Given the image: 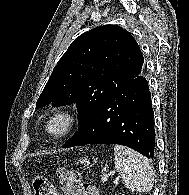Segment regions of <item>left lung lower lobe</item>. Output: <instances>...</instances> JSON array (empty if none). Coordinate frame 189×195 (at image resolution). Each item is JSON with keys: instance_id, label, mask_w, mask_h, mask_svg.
<instances>
[{"instance_id": "left-lung-lower-lobe-1", "label": "left lung lower lobe", "mask_w": 189, "mask_h": 195, "mask_svg": "<svg viewBox=\"0 0 189 195\" xmlns=\"http://www.w3.org/2000/svg\"><path fill=\"white\" fill-rule=\"evenodd\" d=\"M147 80L139 75L116 89L80 126L63 148L120 144L154 157L155 130Z\"/></svg>"}]
</instances>
